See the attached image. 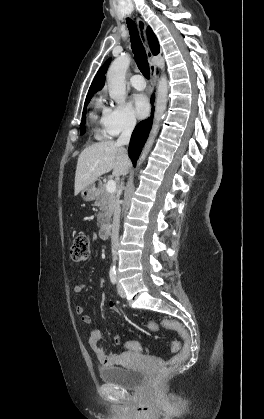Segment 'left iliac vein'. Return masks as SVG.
<instances>
[{"label":"left iliac vein","instance_id":"left-iliac-vein-1","mask_svg":"<svg viewBox=\"0 0 264 419\" xmlns=\"http://www.w3.org/2000/svg\"><path fill=\"white\" fill-rule=\"evenodd\" d=\"M117 290H118V294H119L121 297H125V292H124V289H123V287H122V285H121L120 283H118V284H117Z\"/></svg>","mask_w":264,"mask_h":419}]
</instances>
